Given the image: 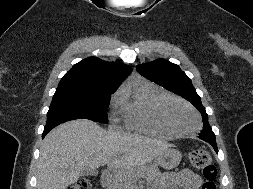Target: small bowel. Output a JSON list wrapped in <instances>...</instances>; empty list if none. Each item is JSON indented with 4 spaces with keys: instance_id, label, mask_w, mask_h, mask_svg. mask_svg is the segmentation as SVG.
<instances>
[{
    "instance_id": "obj_1",
    "label": "small bowel",
    "mask_w": 253,
    "mask_h": 189,
    "mask_svg": "<svg viewBox=\"0 0 253 189\" xmlns=\"http://www.w3.org/2000/svg\"><path fill=\"white\" fill-rule=\"evenodd\" d=\"M202 185V179L189 169L179 172L165 173L158 184V189H199Z\"/></svg>"
}]
</instances>
